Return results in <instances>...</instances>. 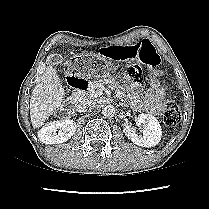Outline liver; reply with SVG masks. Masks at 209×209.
<instances>
[{
	"label": "liver",
	"instance_id": "obj_1",
	"mask_svg": "<svg viewBox=\"0 0 209 209\" xmlns=\"http://www.w3.org/2000/svg\"><path fill=\"white\" fill-rule=\"evenodd\" d=\"M64 95L56 68L48 65L31 95L30 116L34 128L41 127L52 114L64 110Z\"/></svg>",
	"mask_w": 209,
	"mask_h": 209
}]
</instances>
